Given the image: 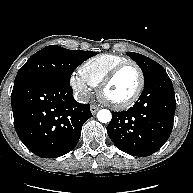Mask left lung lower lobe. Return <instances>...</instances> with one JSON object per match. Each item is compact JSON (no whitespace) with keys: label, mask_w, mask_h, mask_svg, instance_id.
<instances>
[{"label":"left lung lower lobe","mask_w":193,"mask_h":193,"mask_svg":"<svg viewBox=\"0 0 193 193\" xmlns=\"http://www.w3.org/2000/svg\"><path fill=\"white\" fill-rule=\"evenodd\" d=\"M175 93L166 71L144 84L138 101L127 111L112 112L107 132L121 151L145 157L169 138L175 114Z\"/></svg>","instance_id":"0a47b994"}]
</instances>
